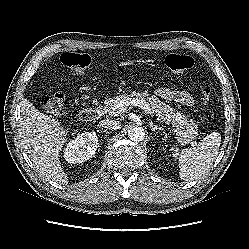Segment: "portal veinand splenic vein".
I'll use <instances>...</instances> for the list:
<instances>
[{"mask_svg": "<svg viewBox=\"0 0 249 249\" xmlns=\"http://www.w3.org/2000/svg\"><path fill=\"white\" fill-rule=\"evenodd\" d=\"M129 105L138 106L141 109H143L147 114L149 115L152 114V110L150 106L144 100H140L137 98H128L116 104L114 108V110L116 111V116L124 113V111L126 110V107Z\"/></svg>", "mask_w": 249, "mask_h": 249, "instance_id": "1", "label": "portal vein and splenic vein"}]
</instances>
